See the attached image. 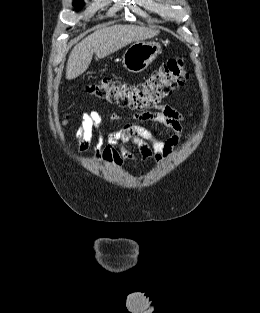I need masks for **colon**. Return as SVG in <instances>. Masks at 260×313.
<instances>
[{"mask_svg": "<svg viewBox=\"0 0 260 313\" xmlns=\"http://www.w3.org/2000/svg\"><path fill=\"white\" fill-rule=\"evenodd\" d=\"M189 79L182 59L173 58L162 64L157 71L140 83L130 84L103 78L88 86L90 94L118 106L147 110L182 86Z\"/></svg>", "mask_w": 260, "mask_h": 313, "instance_id": "obj_1", "label": "colon"}]
</instances>
